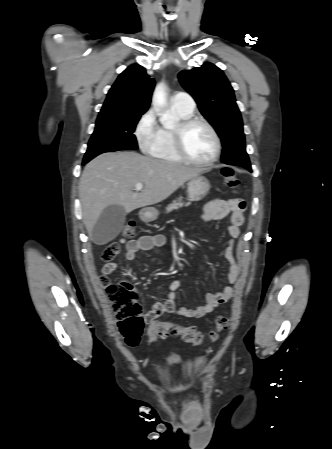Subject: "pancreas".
Here are the masks:
<instances>
[{"label":"pancreas","mask_w":332,"mask_h":449,"mask_svg":"<svg viewBox=\"0 0 332 449\" xmlns=\"http://www.w3.org/2000/svg\"><path fill=\"white\" fill-rule=\"evenodd\" d=\"M188 205H189V203L184 204L183 202H181L180 199L174 200L171 204H169L167 206L166 213H169V212H171L173 210H176V209H179V208H181L183 206H188Z\"/></svg>","instance_id":"cf45deb5"}]
</instances>
